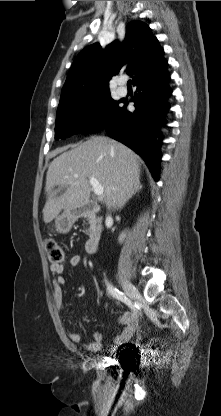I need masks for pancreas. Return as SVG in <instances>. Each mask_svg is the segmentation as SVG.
<instances>
[{
    "label": "pancreas",
    "mask_w": 221,
    "mask_h": 416,
    "mask_svg": "<svg viewBox=\"0 0 221 416\" xmlns=\"http://www.w3.org/2000/svg\"><path fill=\"white\" fill-rule=\"evenodd\" d=\"M88 217H89V220H90V223L95 227V225L96 224H98L97 225V228L98 229H100L101 228V222H102V218H96L95 217V215L94 214H92V213H89L88 214Z\"/></svg>",
    "instance_id": "pancreas-1"
}]
</instances>
